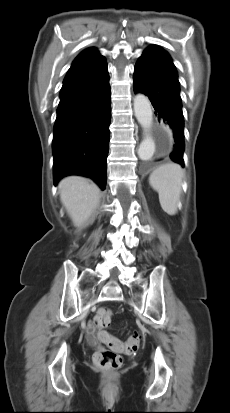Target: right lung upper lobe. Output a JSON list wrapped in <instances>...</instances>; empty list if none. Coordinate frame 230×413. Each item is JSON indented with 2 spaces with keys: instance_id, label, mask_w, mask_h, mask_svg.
Instances as JSON below:
<instances>
[{
  "instance_id": "cb5924a9",
  "label": "right lung upper lobe",
  "mask_w": 230,
  "mask_h": 413,
  "mask_svg": "<svg viewBox=\"0 0 230 413\" xmlns=\"http://www.w3.org/2000/svg\"><path fill=\"white\" fill-rule=\"evenodd\" d=\"M106 68L105 57L100 55L96 48H87L73 61L63 84L85 79L102 72Z\"/></svg>"
}]
</instances>
